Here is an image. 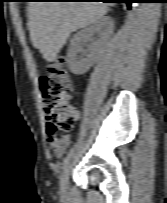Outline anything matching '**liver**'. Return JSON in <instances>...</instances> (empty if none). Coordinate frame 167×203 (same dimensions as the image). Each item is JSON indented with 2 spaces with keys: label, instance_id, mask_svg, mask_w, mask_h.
<instances>
[{
  "label": "liver",
  "instance_id": "obj_1",
  "mask_svg": "<svg viewBox=\"0 0 167 203\" xmlns=\"http://www.w3.org/2000/svg\"><path fill=\"white\" fill-rule=\"evenodd\" d=\"M108 6L103 2H31L28 27L34 48L46 61H55L70 34L102 18Z\"/></svg>",
  "mask_w": 167,
  "mask_h": 203
}]
</instances>
